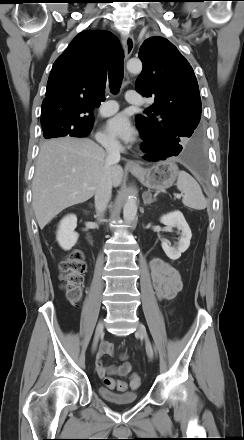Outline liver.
Masks as SVG:
<instances>
[{"mask_svg": "<svg viewBox=\"0 0 244 440\" xmlns=\"http://www.w3.org/2000/svg\"><path fill=\"white\" fill-rule=\"evenodd\" d=\"M107 153L88 138H57L44 142L32 181V206L40 229L62 210L89 200L106 171ZM112 185L118 187L123 169H109Z\"/></svg>", "mask_w": 244, "mask_h": 440, "instance_id": "1", "label": "liver"}]
</instances>
